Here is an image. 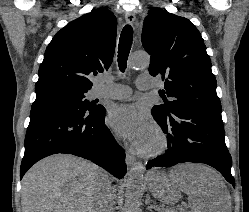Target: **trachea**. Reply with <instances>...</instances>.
Segmentation results:
<instances>
[{"label": "trachea", "mask_w": 249, "mask_h": 212, "mask_svg": "<svg viewBox=\"0 0 249 212\" xmlns=\"http://www.w3.org/2000/svg\"><path fill=\"white\" fill-rule=\"evenodd\" d=\"M133 29L130 25H126L119 39V48H118V65L121 71H125L128 56L130 53L132 45Z\"/></svg>", "instance_id": "3493384b"}]
</instances>
